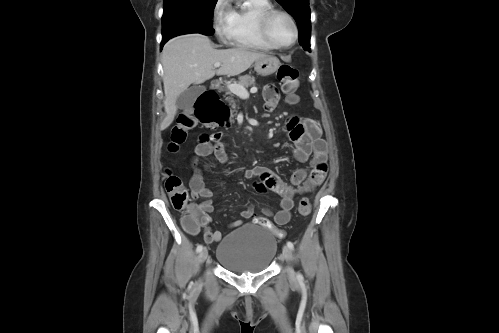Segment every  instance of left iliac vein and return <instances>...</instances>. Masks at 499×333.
Masks as SVG:
<instances>
[{
  "mask_svg": "<svg viewBox=\"0 0 499 333\" xmlns=\"http://www.w3.org/2000/svg\"><path fill=\"white\" fill-rule=\"evenodd\" d=\"M283 258L289 263L292 259V252L288 246H284L282 249ZM288 274L290 279L295 278V273L291 267H288Z\"/></svg>",
  "mask_w": 499,
  "mask_h": 333,
  "instance_id": "4c4485c4",
  "label": "left iliac vein"
}]
</instances>
